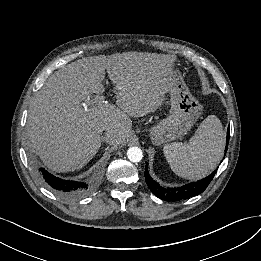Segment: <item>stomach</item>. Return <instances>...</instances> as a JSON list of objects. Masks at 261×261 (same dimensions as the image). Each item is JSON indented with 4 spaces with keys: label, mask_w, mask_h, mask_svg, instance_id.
<instances>
[{
    "label": "stomach",
    "mask_w": 261,
    "mask_h": 261,
    "mask_svg": "<svg viewBox=\"0 0 261 261\" xmlns=\"http://www.w3.org/2000/svg\"><path fill=\"white\" fill-rule=\"evenodd\" d=\"M173 72L169 115L148 130L156 146L185 136L202 112L201 104L191 95L181 71L175 68Z\"/></svg>",
    "instance_id": "stomach-1"
}]
</instances>
